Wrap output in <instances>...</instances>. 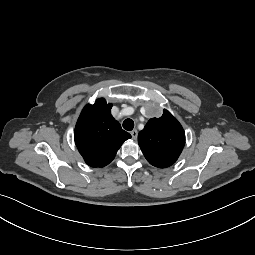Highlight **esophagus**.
<instances>
[{
  "mask_svg": "<svg viewBox=\"0 0 255 255\" xmlns=\"http://www.w3.org/2000/svg\"><path fill=\"white\" fill-rule=\"evenodd\" d=\"M130 134H131V136H132L133 139H136L137 136H138L137 130H132V131L130 132Z\"/></svg>",
  "mask_w": 255,
  "mask_h": 255,
  "instance_id": "obj_1",
  "label": "esophagus"
}]
</instances>
